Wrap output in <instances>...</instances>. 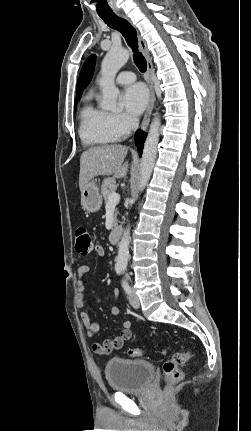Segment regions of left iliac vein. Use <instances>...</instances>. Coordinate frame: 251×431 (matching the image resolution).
Wrapping results in <instances>:
<instances>
[{
    "instance_id": "1",
    "label": "left iliac vein",
    "mask_w": 251,
    "mask_h": 431,
    "mask_svg": "<svg viewBox=\"0 0 251 431\" xmlns=\"http://www.w3.org/2000/svg\"><path fill=\"white\" fill-rule=\"evenodd\" d=\"M128 297H129V302H130L132 307H134V308L140 307L139 298L137 297V295L134 293L133 290L130 289Z\"/></svg>"
}]
</instances>
